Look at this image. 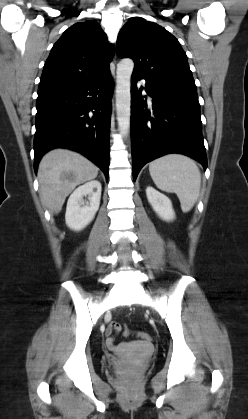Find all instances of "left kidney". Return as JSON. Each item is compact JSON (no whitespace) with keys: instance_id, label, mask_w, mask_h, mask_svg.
Here are the masks:
<instances>
[{"instance_id":"left-kidney-1","label":"left kidney","mask_w":248,"mask_h":419,"mask_svg":"<svg viewBox=\"0 0 248 419\" xmlns=\"http://www.w3.org/2000/svg\"><path fill=\"white\" fill-rule=\"evenodd\" d=\"M146 195L148 202L152 206L153 210L162 220L172 221L175 219V212L172 207V202L167 196L160 193L151 186L147 187Z\"/></svg>"}]
</instances>
